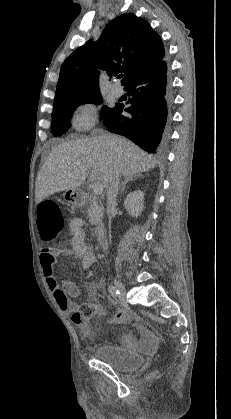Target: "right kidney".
Masks as SVG:
<instances>
[{
  "label": "right kidney",
  "mask_w": 231,
  "mask_h": 419,
  "mask_svg": "<svg viewBox=\"0 0 231 419\" xmlns=\"http://www.w3.org/2000/svg\"><path fill=\"white\" fill-rule=\"evenodd\" d=\"M124 207L133 217L140 216L144 208V193L141 190L129 193L124 200Z\"/></svg>",
  "instance_id": "obj_1"
}]
</instances>
